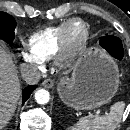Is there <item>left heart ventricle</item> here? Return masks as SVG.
<instances>
[{
	"label": "left heart ventricle",
	"mask_w": 130,
	"mask_h": 130,
	"mask_svg": "<svg viewBox=\"0 0 130 130\" xmlns=\"http://www.w3.org/2000/svg\"><path fill=\"white\" fill-rule=\"evenodd\" d=\"M82 28L80 25H75L72 29V38L75 40V41H78L80 40V38L82 37Z\"/></svg>",
	"instance_id": "b2bd125f"
}]
</instances>
